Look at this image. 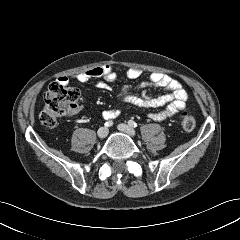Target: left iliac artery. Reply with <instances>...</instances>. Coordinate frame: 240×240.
Instances as JSON below:
<instances>
[{
    "label": "left iliac artery",
    "mask_w": 240,
    "mask_h": 240,
    "mask_svg": "<svg viewBox=\"0 0 240 240\" xmlns=\"http://www.w3.org/2000/svg\"><path fill=\"white\" fill-rule=\"evenodd\" d=\"M128 124L131 126V127H137V124L133 121V120H129L128 121Z\"/></svg>",
    "instance_id": "1"
}]
</instances>
